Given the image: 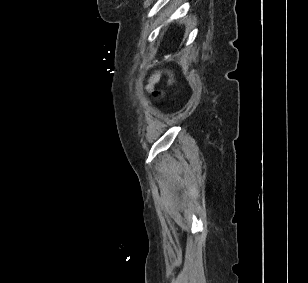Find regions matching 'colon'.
<instances>
[{"label":"colon","instance_id":"colon-1","mask_svg":"<svg viewBox=\"0 0 308 283\" xmlns=\"http://www.w3.org/2000/svg\"><path fill=\"white\" fill-rule=\"evenodd\" d=\"M153 96H154L155 98H157L159 95H158L157 92H155V93L153 94Z\"/></svg>","mask_w":308,"mask_h":283}]
</instances>
